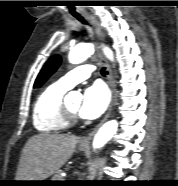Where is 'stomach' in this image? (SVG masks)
<instances>
[{
	"mask_svg": "<svg viewBox=\"0 0 178 186\" xmlns=\"http://www.w3.org/2000/svg\"><path fill=\"white\" fill-rule=\"evenodd\" d=\"M87 148V145L80 143L79 150L84 151Z\"/></svg>",
	"mask_w": 178,
	"mask_h": 186,
	"instance_id": "1",
	"label": "stomach"
}]
</instances>
